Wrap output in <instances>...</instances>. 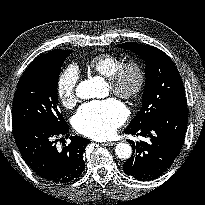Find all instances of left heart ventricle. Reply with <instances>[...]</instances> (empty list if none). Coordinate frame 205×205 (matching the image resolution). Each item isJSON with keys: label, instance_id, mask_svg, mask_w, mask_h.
I'll return each instance as SVG.
<instances>
[{"label": "left heart ventricle", "instance_id": "1", "mask_svg": "<svg viewBox=\"0 0 205 205\" xmlns=\"http://www.w3.org/2000/svg\"><path fill=\"white\" fill-rule=\"evenodd\" d=\"M134 81H135V75H134L133 72H130L128 74L127 82L126 83H127L128 86H132L134 84Z\"/></svg>", "mask_w": 205, "mask_h": 205}]
</instances>
